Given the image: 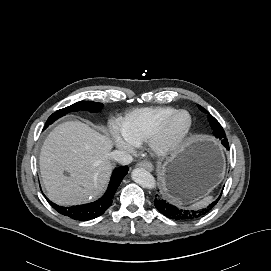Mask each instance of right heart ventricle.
<instances>
[{
    "mask_svg": "<svg viewBox=\"0 0 271 271\" xmlns=\"http://www.w3.org/2000/svg\"><path fill=\"white\" fill-rule=\"evenodd\" d=\"M175 111L172 107L135 109L121 120V131L132 144H141L148 141Z\"/></svg>",
    "mask_w": 271,
    "mask_h": 271,
    "instance_id": "obj_1",
    "label": "right heart ventricle"
}]
</instances>
